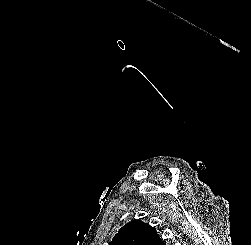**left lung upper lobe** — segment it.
Returning a JSON list of instances; mask_svg holds the SVG:
<instances>
[{"mask_svg":"<svg viewBox=\"0 0 251 245\" xmlns=\"http://www.w3.org/2000/svg\"><path fill=\"white\" fill-rule=\"evenodd\" d=\"M109 245H165L154 227L140 220L125 224Z\"/></svg>","mask_w":251,"mask_h":245,"instance_id":"5c2ea615","label":"left lung upper lobe"}]
</instances>
